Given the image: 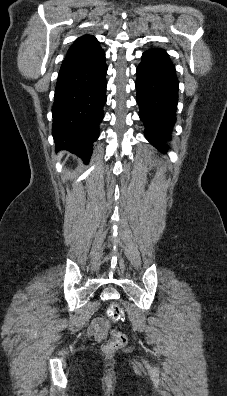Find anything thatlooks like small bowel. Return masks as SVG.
<instances>
[{
  "mask_svg": "<svg viewBox=\"0 0 227 396\" xmlns=\"http://www.w3.org/2000/svg\"><path fill=\"white\" fill-rule=\"evenodd\" d=\"M109 324L103 317H96L87 329V335L97 341H102L107 336Z\"/></svg>",
  "mask_w": 227,
  "mask_h": 396,
  "instance_id": "1",
  "label": "small bowel"
}]
</instances>
